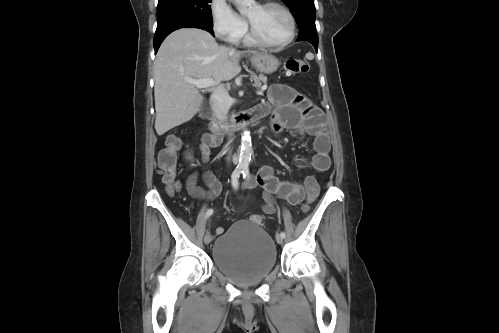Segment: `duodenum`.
Wrapping results in <instances>:
<instances>
[{
	"instance_id": "obj_1",
	"label": "duodenum",
	"mask_w": 499,
	"mask_h": 333,
	"mask_svg": "<svg viewBox=\"0 0 499 333\" xmlns=\"http://www.w3.org/2000/svg\"><path fill=\"white\" fill-rule=\"evenodd\" d=\"M264 116V110L259 107H254L245 111L234 113L227 122L212 119L210 121L211 132L212 135L216 137L236 132L249 124L256 123Z\"/></svg>"
}]
</instances>
